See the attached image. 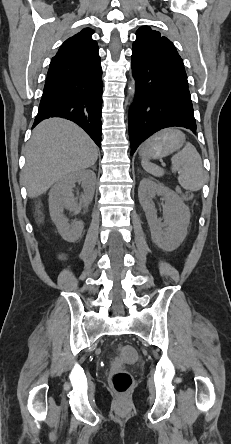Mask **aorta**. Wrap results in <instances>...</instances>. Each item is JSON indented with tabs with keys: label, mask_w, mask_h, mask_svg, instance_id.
<instances>
[{
	"label": "aorta",
	"mask_w": 231,
	"mask_h": 444,
	"mask_svg": "<svg viewBox=\"0 0 231 444\" xmlns=\"http://www.w3.org/2000/svg\"><path fill=\"white\" fill-rule=\"evenodd\" d=\"M128 93H129V96H132L135 93V81L133 79L130 82V87H129Z\"/></svg>",
	"instance_id": "aorta-1"
}]
</instances>
